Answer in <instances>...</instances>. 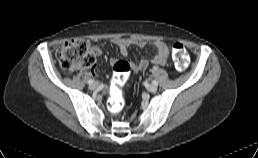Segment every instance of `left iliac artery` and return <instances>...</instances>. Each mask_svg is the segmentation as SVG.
<instances>
[{
	"mask_svg": "<svg viewBox=\"0 0 258 158\" xmlns=\"http://www.w3.org/2000/svg\"><path fill=\"white\" fill-rule=\"evenodd\" d=\"M152 83H153L154 85H158V81H156V80H153Z\"/></svg>",
	"mask_w": 258,
	"mask_h": 158,
	"instance_id": "44dca946",
	"label": "left iliac artery"
}]
</instances>
